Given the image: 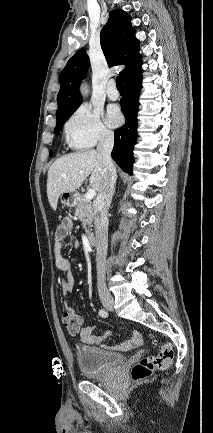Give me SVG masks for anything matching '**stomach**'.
Instances as JSON below:
<instances>
[{"instance_id":"stomach-1","label":"stomach","mask_w":213,"mask_h":433,"mask_svg":"<svg viewBox=\"0 0 213 433\" xmlns=\"http://www.w3.org/2000/svg\"><path fill=\"white\" fill-rule=\"evenodd\" d=\"M76 195L73 192H64L61 194V202L64 205L70 206L75 201Z\"/></svg>"}]
</instances>
